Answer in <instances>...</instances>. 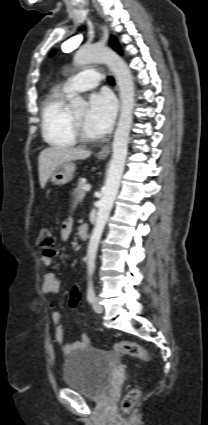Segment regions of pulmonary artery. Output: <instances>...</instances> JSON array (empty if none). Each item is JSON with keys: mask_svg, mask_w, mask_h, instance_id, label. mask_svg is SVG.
Listing matches in <instances>:
<instances>
[{"mask_svg": "<svg viewBox=\"0 0 208 425\" xmlns=\"http://www.w3.org/2000/svg\"><path fill=\"white\" fill-rule=\"evenodd\" d=\"M100 81L101 75L96 69H85L69 78L64 85V90L68 93L82 92L95 88Z\"/></svg>", "mask_w": 208, "mask_h": 425, "instance_id": "e3ab8cb5", "label": "pulmonary artery"}]
</instances>
